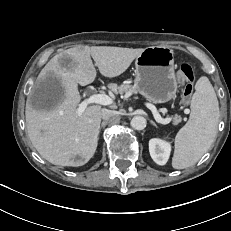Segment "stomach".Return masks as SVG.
<instances>
[{
    "label": "stomach",
    "mask_w": 231,
    "mask_h": 231,
    "mask_svg": "<svg viewBox=\"0 0 231 231\" xmlns=\"http://www.w3.org/2000/svg\"><path fill=\"white\" fill-rule=\"evenodd\" d=\"M134 87L154 103H165L174 98L178 85L173 50L162 46L144 49L135 60Z\"/></svg>",
    "instance_id": "obj_1"
}]
</instances>
